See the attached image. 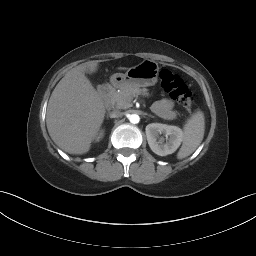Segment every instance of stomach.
Listing matches in <instances>:
<instances>
[{"label": "stomach", "instance_id": "obj_1", "mask_svg": "<svg viewBox=\"0 0 256 256\" xmlns=\"http://www.w3.org/2000/svg\"><path fill=\"white\" fill-rule=\"evenodd\" d=\"M159 66L153 60H144L129 68L125 73H115L110 77V83L115 88L148 87L158 81Z\"/></svg>", "mask_w": 256, "mask_h": 256}]
</instances>
